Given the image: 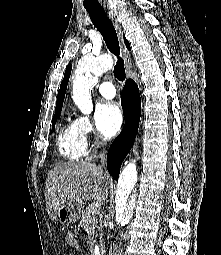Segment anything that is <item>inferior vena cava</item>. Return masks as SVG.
I'll return each mask as SVG.
<instances>
[{
    "mask_svg": "<svg viewBox=\"0 0 221 255\" xmlns=\"http://www.w3.org/2000/svg\"><path fill=\"white\" fill-rule=\"evenodd\" d=\"M100 159H101V167L104 166L105 161H106V152L103 151L100 153L99 155ZM119 248L118 245L116 243H111L110 245V249H109V255H119Z\"/></svg>",
    "mask_w": 221,
    "mask_h": 255,
    "instance_id": "obj_1",
    "label": "inferior vena cava"
}]
</instances>
